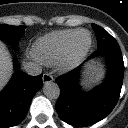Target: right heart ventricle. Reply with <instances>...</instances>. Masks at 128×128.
<instances>
[{"mask_svg":"<svg viewBox=\"0 0 128 128\" xmlns=\"http://www.w3.org/2000/svg\"><path fill=\"white\" fill-rule=\"evenodd\" d=\"M78 30L53 31L38 38L32 49L34 57L46 65L58 63Z\"/></svg>","mask_w":128,"mask_h":128,"instance_id":"1","label":"right heart ventricle"}]
</instances>
